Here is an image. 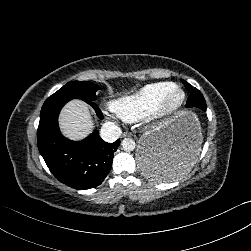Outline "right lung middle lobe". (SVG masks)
Wrapping results in <instances>:
<instances>
[{"mask_svg":"<svg viewBox=\"0 0 251 251\" xmlns=\"http://www.w3.org/2000/svg\"><path fill=\"white\" fill-rule=\"evenodd\" d=\"M99 86L89 81L68 82L48 99H82L85 102L96 100V91Z\"/></svg>","mask_w":251,"mask_h":251,"instance_id":"right-lung-middle-lobe-1","label":"right lung middle lobe"}]
</instances>
